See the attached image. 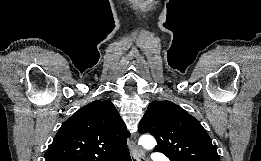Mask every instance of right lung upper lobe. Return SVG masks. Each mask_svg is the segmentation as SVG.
I'll return each mask as SVG.
<instances>
[{
    "instance_id": "1",
    "label": "right lung upper lobe",
    "mask_w": 261,
    "mask_h": 161,
    "mask_svg": "<svg viewBox=\"0 0 261 161\" xmlns=\"http://www.w3.org/2000/svg\"><path fill=\"white\" fill-rule=\"evenodd\" d=\"M129 135L113 103L96 100L62 124L45 161H105L128 151Z\"/></svg>"
}]
</instances>
